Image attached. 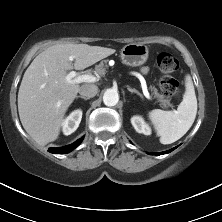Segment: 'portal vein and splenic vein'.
<instances>
[{
    "label": "portal vein and splenic vein",
    "mask_w": 222,
    "mask_h": 222,
    "mask_svg": "<svg viewBox=\"0 0 222 222\" xmlns=\"http://www.w3.org/2000/svg\"><path fill=\"white\" fill-rule=\"evenodd\" d=\"M70 61H73L72 57H70ZM138 78L140 79L144 96L147 99H150V94L147 90V86H146V82L144 78L141 75H139ZM66 81L69 83H78V84L82 82H95L96 77L89 74L77 76V73L75 71H71L69 74H67Z\"/></svg>",
    "instance_id": "18ae733b"
}]
</instances>
